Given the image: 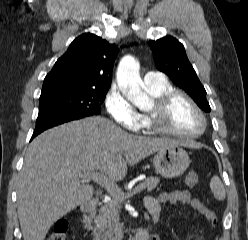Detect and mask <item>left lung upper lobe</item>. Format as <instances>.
<instances>
[{
    "mask_svg": "<svg viewBox=\"0 0 248 240\" xmlns=\"http://www.w3.org/2000/svg\"><path fill=\"white\" fill-rule=\"evenodd\" d=\"M149 46L158 70L167 74L177 86L185 90L202 110L210 112L206 90L189 62L184 46L171 36L149 41Z\"/></svg>",
    "mask_w": 248,
    "mask_h": 240,
    "instance_id": "1",
    "label": "left lung upper lobe"
}]
</instances>
